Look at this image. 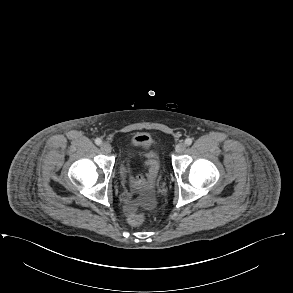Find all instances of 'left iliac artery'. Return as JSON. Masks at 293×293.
<instances>
[{
  "label": "left iliac artery",
  "mask_w": 293,
  "mask_h": 293,
  "mask_svg": "<svg viewBox=\"0 0 293 293\" xmlns=\"http://www.w3.org/2000/svg\"><path fill=\"white\" fill-rule=\"evenodd\" d=\"M192 142H193V141H192L191 138H187V139L185 140V144L188 145V146L191 145Z\"/></svg>",
  "instance_id": "44dca946"
}]
</instances>
